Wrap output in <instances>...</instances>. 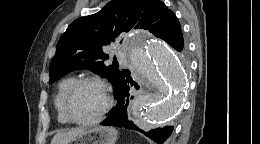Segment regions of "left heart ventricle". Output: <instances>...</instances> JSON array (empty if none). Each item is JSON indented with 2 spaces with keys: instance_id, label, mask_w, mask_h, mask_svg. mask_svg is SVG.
<instances>
[{
  "instance_id": "b2bd125f",
  "label": "left heart ventricle",
  "mask_w": 260,
  "mask_h": 144,
  "mask_svg": "<svg viewBox=\"0 0 260 144\" xmlns=\"http://www.w3.org/2000/svg\"><path fill=\"white\" fill-rule=\"evenodd\" d=\"M104 105V97L100 88L91 83L80 85L69 102V110L76 119L95 117Z\"/></svg>"
}]
</instances>
